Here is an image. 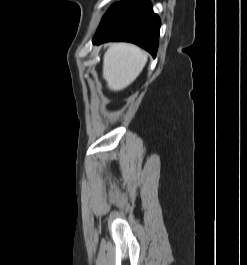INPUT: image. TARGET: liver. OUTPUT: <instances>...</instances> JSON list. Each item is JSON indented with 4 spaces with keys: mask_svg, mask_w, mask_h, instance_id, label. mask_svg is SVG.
Returning a JSON list of instances; mask_svg holds the SVG:
<instances>
[{
    "mask_svg": "<svg viewBox=\"0 0 247 265\" xmlns=\"http://www.w3.org/2000/svg\"><path fill=\"white\" fill-rule=\"evenodd\" d=\"M147 54L135 45L114 43L103 57V78L109 89L120 91L129 86L142 72Z\"/></svg>",
    "mask_w": 247,
    "mask_h": 265,
    "instance_id": "liver-1",
    "label": "liver"
}]
</instances>
